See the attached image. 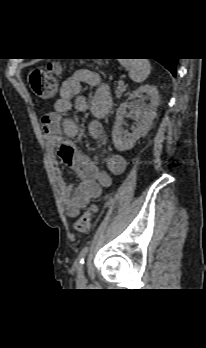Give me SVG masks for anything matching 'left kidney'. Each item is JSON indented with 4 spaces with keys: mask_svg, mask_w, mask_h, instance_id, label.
Listing matches in <instances>:
<instances>
[{
    "mask_svg": "<svg viewBox=\"0 0 206 348\" xmlns=\"http://www.w3.org/2000/svg\"><path fill=\"white\" fill-rule=\"evenodd\" d=\"M145 100H149V104H146ZM158 105L159 93L157 88L146 84L135 89L128 100L119 106L112 131V140L118 151L132 149L137 140L148 133L156 116ZM127 108L131 110L132 116L138 120V124L131 134L123 136L122 125Z\"/></svg>",
    "mask_w": 206,
    "mask_h": 348,
    "instance_id": "left-kidney-1",
    "label": "left kidney"
}]
</instances>
